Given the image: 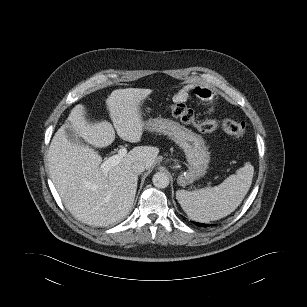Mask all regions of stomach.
<instances>
[{
	"label": "stomach",
	"instance_id": "0dacf381",
	"mask_svg": "<svg viewBox=\"0 0 307 307\" xmlns=\"http://www.w3.org/2000/svg\"><path fill=\"white\" fill-rule=\"evenodd\" d=\"M149 131L168 135L184 151L188 170L178 177V184L186 186L202 178L209 169L210 152L203 138L169 119L157 117L144 123Z\"/></svg>",
	"mask_w": 307,
	"mask_h": 307
}]
</instances>
